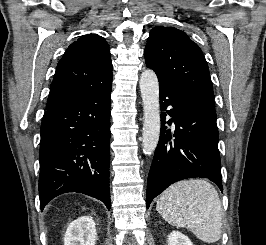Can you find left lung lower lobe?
<instances>
[{"label": "left lung lower lobe", "mask_w": 266, "mask_h": 245, "mask_svg": "<svg viewBox=\"0 0 266 245\" xmlns=\"http://www.w3.org/2000/svg\"><path fill=\"white\" fill-rule=\"evenodd\" d=\"M160 108L172 119L165 121L161 113V135L155 150L147 181L146 207L171 184L187 178H208L221 191V164L218 150L217 115L197 101L159 81ZM175 124V139L165 123Z\"/></svg>", "instance_id": "1"}]
</instances>
